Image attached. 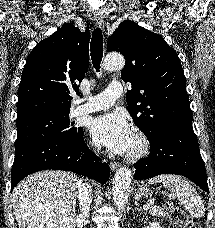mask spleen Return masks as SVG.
I'll use <instances>...</instances> for the list:
<instances>
[{"label":"spleen","instance_id":"3e777b00","mask_svg":"<svg viewBox=\"0 0 215 228\" xmlns=\"http://www.w3.org/2000/svg\"><path fill=\"white\" fill-rule=\"evenodd\" d=\"M163 184L165 188L170 190L171 194L176 196L182 206L187 208L192 218H202L205 214V206L197 194L195 188L181 178V176H172V174H163V176H155L151 178L148 184Z\"/></svg>","mask_w":215,"mask_h":228}]
</instances>
